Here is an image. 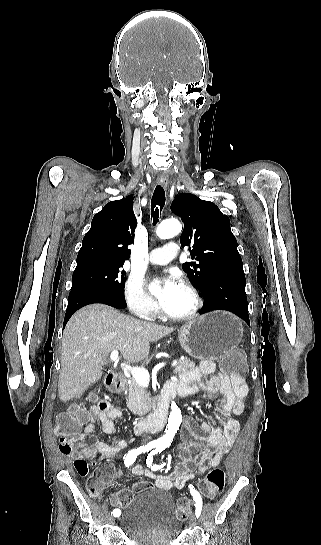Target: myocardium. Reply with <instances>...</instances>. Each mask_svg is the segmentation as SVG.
Instances as JSON below:
<instances>
[{
  "label": "myocardium",
  "mask_w": 321,
  "mask_h": 545,
  "mask_svg": "<svg viewBox=\"0 0 321 545\" xmlns=\"http://www.w3.org/2000/svg\"><path fill=\"white\" fill-rule=\"evenodd\" d=\"M181 287L185 290H187L194 299V307L193 309L187 313V314H170L166 311H164V315L171 320L175 321H190L195 319L201 312L203 306H204V300L200 293V291L191 283L189 282H183Z\"/></svg>",
  "instance_id": "f54148a6"
}]
</instances>
